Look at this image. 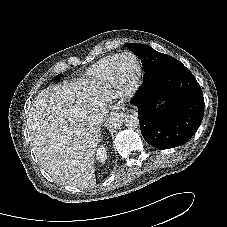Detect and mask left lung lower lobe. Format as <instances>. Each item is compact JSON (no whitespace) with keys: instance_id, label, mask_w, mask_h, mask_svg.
I'll return each instance as SVG.
<instances>
[{"instance_id":"1","label":"left lung lower lobe","mask_w":227,"mask_h":227,"mask_svg":"<svg viewBox=\"0 0 227 227\" xmlns=\"http://www.w3.org/2000/svg\"><path fill=\"white\" fill-rule=\"evenodd\" d=\"M142 65L150 66L158 52L144 45L136 53ZM166 102L157 107L158 100ZM131 103L138 108L140 129L153 147L169 149L185 144L197 131L204 116L200 85L183 65L153 75H144Z\"/></svg>"}]
</instances>
